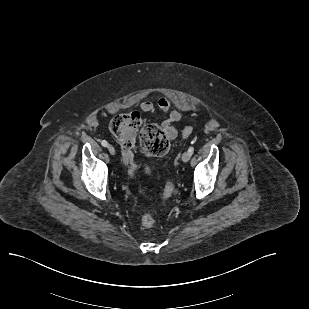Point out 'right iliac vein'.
Segmentation results:
<instances>
[{"label": "right iliac vein", "instance_id": "1", "mask_svg": "<svg viewBox=\"0 0 309 309\" xmlns=\"http://www.w3.org/2000/svg\"><path fill=\"white\" fill-rule=\"evenodd\" d=\"M107 148H108V151L111 155L115 154V148L112 145H108Z\"/></svg>", "mask_w": 309, "mask_h": 309}]
</instances>
